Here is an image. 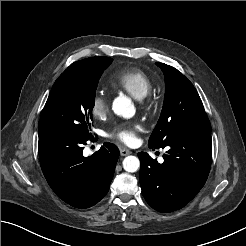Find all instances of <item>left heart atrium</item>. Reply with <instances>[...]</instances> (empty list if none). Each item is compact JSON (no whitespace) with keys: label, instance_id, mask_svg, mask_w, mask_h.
<instances>
[{"label":"left heart atrium","instance_id":"left-heart-atrium-1","mask_svg":"<svg viewBox=\"0 0 246 246\" xmlns=\"http://www.w3.org/2000/svg\"><path fill=\"white\" fill-rule=\"evenodd\" d=\"M137 130L138 125L135 124H125L117 127L110 136L118 139L126 145H133L137 142Z\"/></svg>","mask_w":246,"mask_h":246}]
</instances>
